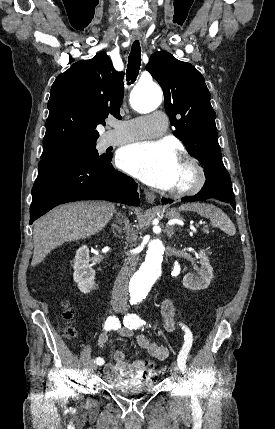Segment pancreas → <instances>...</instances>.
I'll return each mask as SVG.
<instances>
[{
  "mask_svg": "<svg viewBox=\"0 0 275 429\" xmlns=\"http://www.w3.org/2000/svg\"><path fill=\"white\" fill-rule=\"evenodd\" d=\"M203 232H204V233H206V234H208V233H209V230H208V229H206V228H204V229H203Z\"/></svg>",
  "mask_w": 275,
  "mask_h": 429,
  "instance_id": "cf45deb5",
  "label": "pancreas"
}]
</instances>
